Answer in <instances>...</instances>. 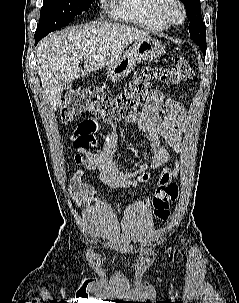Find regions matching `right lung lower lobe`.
Masks as SVG:
<instances>
[{"label": "right lung lower lobe", "instance_id": "98d812e1", "mask_svg": "<svg viewBox=\"0 0 239 303\" xmlns=\"http://www.w3.org/2000/svg\"><path fill=\"white\" fill-rule=\"evenodd\" d=\"M46 35H47L46 33L36 32L35 33V45L38 43L39 40H41Z\"/></svg>", "mask_w": 239, "mask_h": 303}]
</instances>
